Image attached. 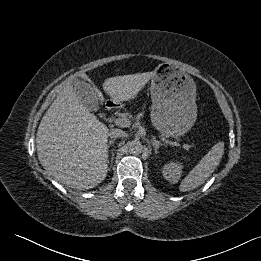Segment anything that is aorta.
<instances>
[{
    "label": "aorta",
    "mask_w": 261,
    "mask_h": 261,
    "mask_svg": "<svg viewBox=\"0 0 261 261\" xmlns=\"http://www.w3.org/2000/svg\"><path fill=\"white\" fill-rule=\"evenodd\" d=\"M128 150L132 155H139L143 151V145L138 140H133L128 143Z\"/></svg>",
    "instance_id": "obj_1"
}]
</instances>
